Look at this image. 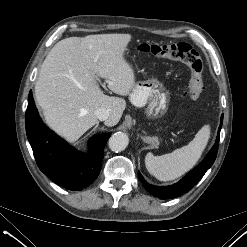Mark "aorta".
Segmentation results:
<instances>
[{
  "mask_svg": "<svg viewBox=\"0 0 247 247\" xmlns=\"http://www.w3.org/2000/svg\"><path fill=\"white\" fill-rule=\"evenodd\" d=\"M128 143L129 138L127 134L123 132H117L110 137L108 141V146L113 152H121L125 150V148L128 146Z\"/></svg>",
  "mask_w": 247,
  "mask_h": 247,
  "instance_id": "762f6f07",
  "label": "aorta"
}]
</instances>
